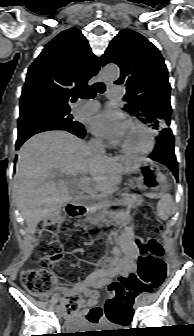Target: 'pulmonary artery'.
<instances>
[{"mask_svg": "<svg viewBox=\"0 0 194 336\" xmlns=\"http://www.w3.org/2000/svg\"><path fill=\"white\" fill-rule=\"evenodd\" d=\"M122 89L120 87H110L107 97L109 99H115L121 97ZM99 108V103L97 101H88L83 105H80L75 109V113L78 115H90L96 112Z\"/></svg>", "mask_w": 194, "mask_h": 336, "instance_id": "e3ab8cb5", "label": "pulmonary artery"}]
</instances>
